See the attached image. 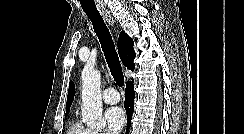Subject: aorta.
<instances>
[{"label":"aorta","instance_id":"aorta-1","mask_svg":"<svg viewBox=\"0 0 244 134\" xmlns=\"http://www.w3.org/2000/svg\"><path fill=\"white\" fill-rule=\"evenodd\" d=\"M82 118L88 127L101 129L105 126L102 117L101 74L98 70L82 72Z\"/></svg>","mask_w":244,"mask_h":134}]
</instances>
